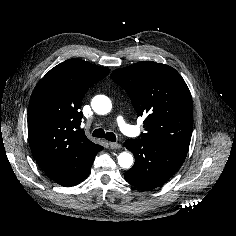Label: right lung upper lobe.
<instances>
[{"mask_svg": "<svg viewBox=\"0 0 236 236\" xmlns=\"http://www.w3.org/2000/svg\"><path fill=\"white\" fill-rule=\"evenodd\" d=\"M108 73V68L69 59L38 82L29 103L28 135L41 169L97 150L99 145L80 130V108L87 90Z\"/></svg>", "mask_w": 236, "mask_h": 236, "instance_id": "cb5924a9", "label": "right lung upper lobe"}]
</instances>
